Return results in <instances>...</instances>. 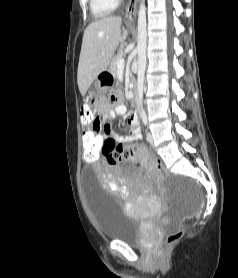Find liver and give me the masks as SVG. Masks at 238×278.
<instances>
[{
	"mask_svg": "<svg viewBox=\"0 0 238 278\" xmlns=\"http://www.w3.org/2000/svg\"><path fill=\"white\" fill-rule=\"evenodd\" d=\"M121 24V17L111 16L96 20L85 29L77 72L82 96L96 77L107 70L116 48L127 38L128 31L121 33Z\"/></svg>",
	"mask_w": 238,
	"mask_h": 278,
	"instance_id": "1",
	"label": "liver"
}]
</instances>
